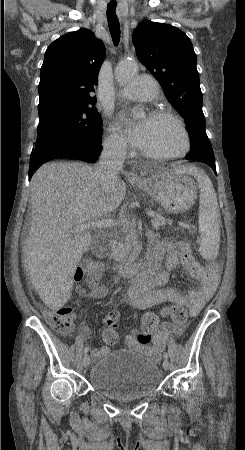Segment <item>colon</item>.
<instances>
[{
  "instance_id": "colon-1",
  "label": "colon",
  "mask_w": 245,
  "mask_h": 450,
  "mask_svg": "<svg viewBox=\"0 0 245 450\" xmlns=\"http://www.w3.org/2000/svg\"><path fill=\"white\" fill-rule=\"evenodd\" d=\"M219 265L211 262L208 265L210 271L218 270ZM102 273V267L94 260L88 258L74 273V280L80 282L85 280L90 286H96ZM170 317L177 324H185L189 318V312L184 305L173 304L166 306L159 313H148L142 320L141 331L137 336L140 343L146 344L151 340L153 332L163 317ZM46 320L57 330L68 332L72 327V311L66 305H62L55 310L45 311ZM120 318V312L115 309L110 311L104 318L103 341L108 345H114L118 342L119 336L115 331Z\"/></svg>"
}]
</instances>
